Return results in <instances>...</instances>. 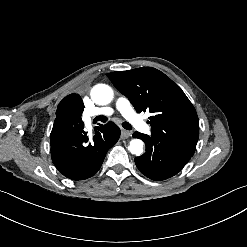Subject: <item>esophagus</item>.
Masks as SVG:
<instances>
[{"instance_id": "esophagus-1", "label": "esophagus", "mask_w": 247, "mask_h": 247, "mask_svg": "<svg viewBox=\"0 0 247 247\" xmlns=\"http://www.w3.org/2000/svg\"><path fill=\"white\" fill-rule=\"evenodd\" d=\"M130 135H131V133L129 131H126V130L121 131V139H123V140L129 138Z\"/></svg>"}]
</instances>
